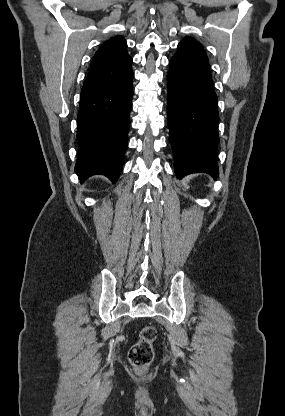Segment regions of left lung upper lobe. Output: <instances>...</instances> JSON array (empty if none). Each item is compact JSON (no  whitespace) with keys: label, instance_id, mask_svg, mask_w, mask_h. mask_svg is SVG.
I'll return each instance as SVG.
<instances>
[{"label":"left lung upper lobe","instance_id":"left-lung-upper-lobe-1","mask_svg":"<svg viewBox=\"0 0 285 416\" xmlns=\"http://www.w3.org/2000/svg\"><path fill=\"white\" fill-rule=\"evenodd\" d=\"M209 72L207 55L199 42L185 38L178 44L177 53L173 56Z\"/></svg>","mask_w":285,"mask_h":416}]
</instances>
